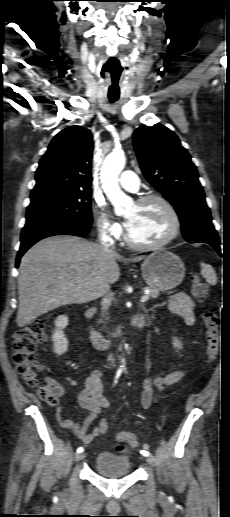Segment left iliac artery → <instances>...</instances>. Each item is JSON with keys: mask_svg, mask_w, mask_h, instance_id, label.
<instances>
[{"mask_svg": "<svg viewBox=\"0 0 230 517\" xmlns=\"http://www.w3.org/2000/svg\"><path fill=\"white\" fill-rule=\"evenodd\" d=\"M140 453L143 455V456H150V452L147 451V450H141Z\"/></svg>", "mask_w": 230, "mask_h": 517, "instance_id": "1", "label": "left iliac artery"}]
</instances>
